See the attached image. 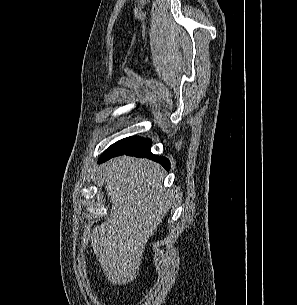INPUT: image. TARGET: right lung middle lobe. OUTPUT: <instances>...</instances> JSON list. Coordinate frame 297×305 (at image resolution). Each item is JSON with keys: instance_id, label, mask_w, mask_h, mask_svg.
<instances>
[{"instance_id": "right-lung-middle-lobe-1", "label": "right lung middle lobe", "mask_w": 297, "mask_h": 305, "mask_svg": "<svg viewBox=\"0 0 297 305\" xmlns=\"http://www.w3.org/2000/svg\"><path fill=\"white\" fill-rule=\"evenodd\" d=\"M141 139H142V137H129V138H125V139H122V140L114 143L109 148H123V147L132 146L135 143H137L138 141H140Z\"/></svg>"}]
</instances>
